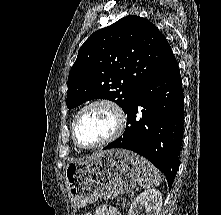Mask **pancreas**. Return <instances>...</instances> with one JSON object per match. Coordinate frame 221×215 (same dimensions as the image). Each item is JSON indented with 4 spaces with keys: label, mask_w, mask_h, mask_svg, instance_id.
Returning <instances> with one entry per match:
<instances>
[{
    "label": "pancreas",
    "mask_w": 221,
    "mask_h": 215,
    "mask_svg": "<svg viewBox=\"0 0 221 215\" xmlns=\"http://www.w3.org/2000/svg\"><path fill=\"white\" fill-rule=\"evenodd\" d=\"M118 204L121 205V206H123V207H125V206H127V200H126V199H122V200H120V201L118 202Z\"/></svg>",
    "instance_id": "pancreas-1"
}]
</instances>
